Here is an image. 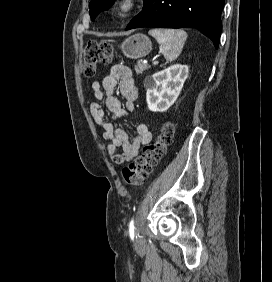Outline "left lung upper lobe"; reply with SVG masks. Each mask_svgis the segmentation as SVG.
<instances>
[{"instance_id":"obj_1","label":"left lung upper lobe","mask_w":272,"mask_h":282,"mask_svg":"<svg viewBox=\"0 0 272 282\" xmlns=\"http://www.w3.org/2000/svg\"><path fill=\"white\" fill-rule=\"evenodd\" d=\"M114 2L115 0H92L89 5L91 19L94 20L100 12L107 10Z\"/></svg>"}]
</instances>
